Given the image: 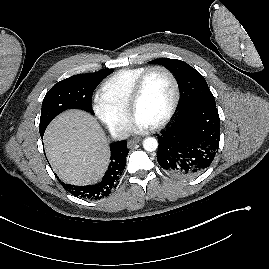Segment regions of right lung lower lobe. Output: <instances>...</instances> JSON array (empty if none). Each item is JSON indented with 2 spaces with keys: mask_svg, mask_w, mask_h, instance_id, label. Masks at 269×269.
Wrapping results in <instances>:
<instances>
[{
  "mask_svg": "<svg viewBox=\"0 0 269 269\" xmlns=\"http://www.w3.org/2000/svg\"><path fill=\"white\" fill-rule=\"evenodd\" d=\"M43 138V135H41ZM127 143L125 141H117L111 144V162L108 170L100 182L88 186H73L62 183L63 187L71 192L72 195L98 200L109 196L111 191L117 186L122 172L126 165Z\"/></svg>",
  "mask_w": 269,
  "mask_h": 269,
  "instance_id": "1",
  "label": "right lung lower lobe"
}]
</instances>
